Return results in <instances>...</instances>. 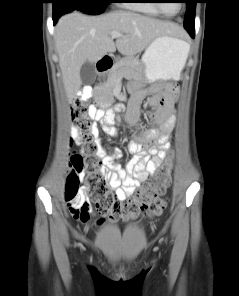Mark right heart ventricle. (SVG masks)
Here are the masks:
<instances>
[{
    "mask_svg": "<svg viewBox=\"0 0 239 296\" xmlns=\"http://www.w3.org/2000/svg\"><path fill=\"white\" fill-rule=\"evenodd\" d=\"M132 2L134 3H125L124 5L149 15H161V12L154 6L152 0H133Z\"/></svg>",
    "mask_w": 239,
    "mask_h": 296,
    "instance_id": "obj_1",
    "label": "right heart ventricle"
}]
</instances>
